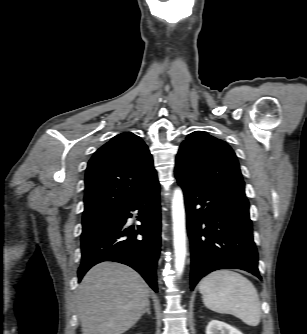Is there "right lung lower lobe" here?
Instances as JSON below:
<instances>
[{"label":"right lung lower lobe","instance_id":"obj_1","mask_svg":"<svg viewBox=\"0 0 307 334\" xmlns=\"http://www.w3.org/2000/svg\"><path fill=\"white\" fill-rule=\"evenodd\" d=\"M159 183L116 212L113 219L81 242L82 259L78 269L79 282L84 274L102 261L126 264L138 271L157 292L156 267L160 253ZM139 211L142 225L134 232L126 227L131 211ZM141 234L142 239H137Z\"/></svg>","mask_w":307,"mask_h":334}]
</instances>
